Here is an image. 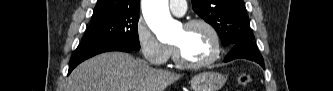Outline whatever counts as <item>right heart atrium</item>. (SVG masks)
Here are the masks:
<instances>
[{
    "label": "right heart atrium",
    "instance_id": "1",
    "mask_svg": "<svg viewBox=\"0 0 333 91\" xmlns=\"http://www.w3.org/2000/svg\"><path fill=\"white\" fill-rule=\"evenodd\" d=\"M135 38L142 56L148 63L160 66L169 60L172 49L155 37L142 18L136 24Z\"/></svg>",
    "mask_w": 333,
    "mask_h": 91
}]
</instances>
